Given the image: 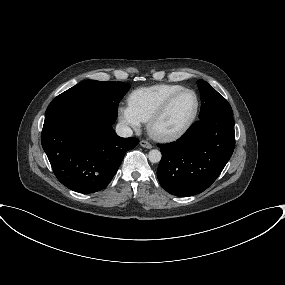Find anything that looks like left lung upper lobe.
Listing matches in <instances>:
<instances>
[{"label": "left lung upper lobe", "instance_id": "1", "mask_svg": "<svg viewBox=\"0 0 285 285\" xmlns=\"http://www.w3.org/2000/svg\"><path fill=\"white\" fill-rule=\"evenodd\" d=\"M197 84L201 92L200 119L214 114L233 115L230 104L213 87L204 80H198Z\"/></svg>", "mask_w": 285, "mask_h": 285}]
</instances>
